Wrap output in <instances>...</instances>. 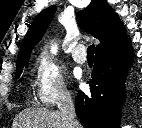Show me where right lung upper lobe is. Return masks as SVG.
Returning <instances> with one entry per match:
<instances>
[{"label": "right lung upper lobe", "mask_w": 142, "mask_h": 128, "mask_svg": "<svg viewBox=\"0 0 142 128\" xmlns=\"http://www.w3.org/2000/svg\"><path fill=\"white\" fill-rule=\"evenodd\" d=\"M55 11L56 6H50L34 19L22 42L17 63L29 60L32 48L41 40ZM77 21L83 30L100 41L96 54L110 52L129 41L118 15L105 0H91L87 8L78 12Z\"/></svg>", "instance_id": "right-lung-upper-lobe-1"}]
</instances>
